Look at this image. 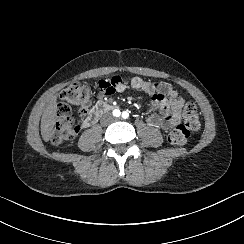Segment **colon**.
I'll return each instance as SVG.
<instances>
[{"instance_id": "5ec220e1", "label": "colon", "mask_w": 244, "mask_h": 244, "mask_svg": "<svg viewBox=\"0 0 244 244\" xmlns=\"http://www.w3.org/2000/svg\"><path fill=\"white\" fill-rule=\"evenodd\" d=\"M91 101V87L83 81H73L62 90L57 109L56 129L52 135V142L62 144L75 137L78 126L72 116L71 106H89ZM183 123L169 133V141L174 145H185L190 134L199 127V111L194 103L186 102L183 107Z\"/></svg>"}]
</instances>
